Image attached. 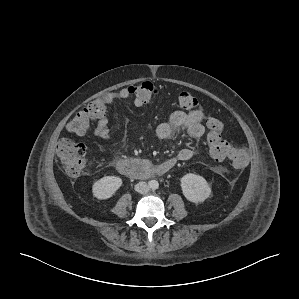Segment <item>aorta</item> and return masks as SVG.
<instances>
[{"label":"aorta","mask_w":299,"mask_h":299,"mask_svg":"<svg viewBox=\"0 0 299 299\" xmlns=\"http://www.w3.org/2000/svg\"><path fill=\"white\" fill-rule=\"evenodd\" d=\"M149 187H150L151 189H153V190L158 189V187H159V183H158V181H156V180H151V181L149 182Z\"/></svg>","instance_id":"aorta-1"}]
</instances>
